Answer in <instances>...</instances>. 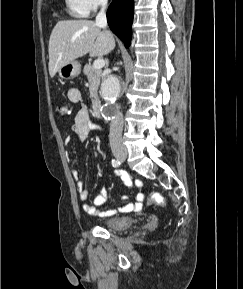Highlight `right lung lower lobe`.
Wrapping results in <instances>:
<instances>
[{
    "label": "right lung lower lobe",
    "mask_w": 243,
    "mask_h": 289,
    "mask_svg": "<svg viewBox=\"0 0 243 289\" xmlns=\"http://www.w3.org/2000/svg\"><path fill=\"white\" fill-rule=\"evenodd\" d=\"M134 0H113L107 10L110 29L128 48L132 36Z\"/></svg>",
    "instance_id": "right-lung-lower-lobe-1"
}]
</instances>
